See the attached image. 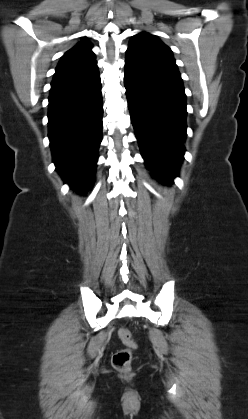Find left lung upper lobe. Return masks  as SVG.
Returning <instances> with one entry per match:
<instances>
[{
	"mask_svg": "<svg viewBox=\"0 0 248 419\" xmlns=\"http://www.w3.org/2000/svg\"><path fill=\"white\" fill-rule=\"evenodd\" d=\"M128 50L140 56L177 67L171 49L157 37L148 33L142 32L133 36L130 40Z\"/></svg>",
	"mask_w": 248,
	"mask_h": 419,
	"instance_id": "5c2ea615",
	"label": "left lung upper lobe"
}]
</instances>
